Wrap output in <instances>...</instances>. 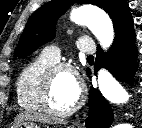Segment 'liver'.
Returning <instances> with one entry per match:
<instances>
[{"label": "liver", "mask_w": 142, "mask_h": 128, "mask_svg": "<svg viewBox=\"0 0 142 128\" xmlns=\"http://www.w3.org/2000/svg\"><path fill=\"white\" fill-rule=\"evenodd\" d=\"M22 121H38L43 123L58 122L56 119H52L42 113H37L34 111H25L17 115L15 118V124L20 123Z\"/></svg>", "instance_id": "liver-1"}]
</instances>
